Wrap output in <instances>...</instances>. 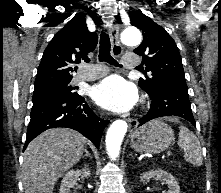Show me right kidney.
<instances>
[{"mask_svg": "<svg viewBox=\"0 0 221 193\" xmlns=\"http://www.w3.org/2000/svg\"><path fill=\"white\" fill-rule=\"evenodd\" d=\"M91 173L88 168H83L81 170H71L65 174L61 182L60 192L59 193H69L71 188L77 184L79 176L90 177Z\"/></svg>", "mask_w": 221, "mask_h": 193, "instance_id": "1", "label": "right kidney"}]
</instances>
